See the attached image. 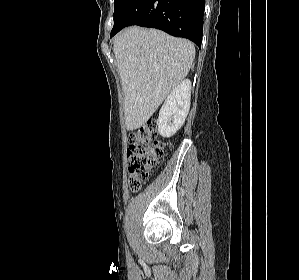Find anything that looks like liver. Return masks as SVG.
I'll use <instances>...</instances> for the list:
<instances>
[{
  "instance_id": "obj_1",
  "label": "liver",
  "mask_w": 299,
  "mask_h": 280,
  "mask_svg": "<svg viewBox=\"0 0 299 280\" xmlns=\"http://www.w3.org/2000/svg\"><path fill=\"white\" fill-rule=\"evenodd\" d=\"M113 51L124 91L125 124L143 126L187 76L195 47L156 29L129 27L114 39Z\"/></svg>"
}]
</instances>
